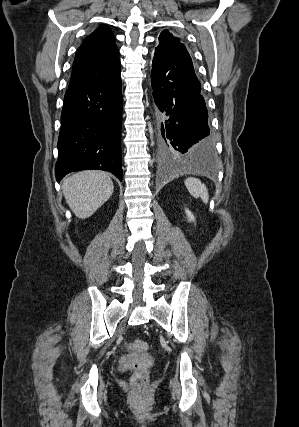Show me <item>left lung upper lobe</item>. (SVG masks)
I'll use <instances>...</instances> for the list:
<instances>
[{
    "label": "left lung upper lobe",
    "mask_w": 299,
    "mask_h": 427,
    "mask_svg": "<svg viewBox=\"0 0 299 427\" xmlns=\"http://www.w3.org/2000/svg\"><path fill=\"white\" fill-rule=\"evenodd\" d=\"M159 41H160V43H159V45H160V44H165V43L180 42V39L177 37H174L172 35V33H170L168 30H164L160 34Z\"/></svg>",
    "instance_id": "1"
}]
</instances>
